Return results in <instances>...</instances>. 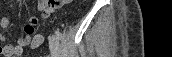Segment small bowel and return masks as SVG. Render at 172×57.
Returning a JSON list of instances; mask_svg holds the SVG:
<instances>
[{
    "label": "small bowel",
    "instance_id": "small-bowel-1",
    "mask_svg": "<svg viewBox=\"0 0 172 57\" xmlns=\"http://www.w3.org/2000/svg\"><path fill=\"white\" fill-rule=\"evenodd\" d=\"M68 2V0H40L37 3V8L42 11V18L47 19L52 12ZM9 23V19L7 17L1 18L0 28H7ZM37 23L38 19L36 17H31L29 22L24 26L23 33L15 43L7 42V37L0 33V42H2V44H0V55L5 57H19L25 46H30L32 49H36L41 46L43 43V36L40 34H34Z\"/></svg>",
    "mask_w": 172,
    "mask_h": 57
}]
</instances>
